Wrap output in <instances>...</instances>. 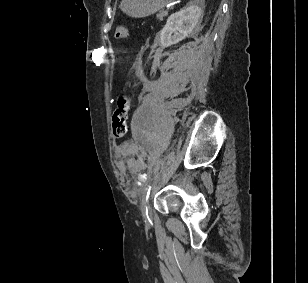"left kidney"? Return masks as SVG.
Listing matches in <instances>:
<instances>
[{
	"label": "left kidney",
	"instance_id": "5707ae66",
	"mask_svg": "<svg viewBox=\"0 0 308 283\" xmlns=\"http://www.w3.org/2000/svg\"><path fill=\"white\" fill-rule=\"evenodd\" d=\"M203 7L204 0H193L184 9L170 15L159 35L161 46L169 47L185 39L202 17Z\"/></svg>",
	"mask_w": 308,
	"mask_h": 283
}]
</instances>
